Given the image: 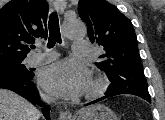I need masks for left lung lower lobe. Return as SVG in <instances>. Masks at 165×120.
<instances>
[{
  "label": "left lung lower lobe",
  "mask_w": 165,
  "mask_h": 120,
  "mask_svg": "<svg viewBox=\"0 0 165 120\" xmlns=\"http://www.w3.org/2000/svg\"><path fill=\"white\" fill-rule=\"evenodd\" d=\"M107 97H111V96L105 95L104 97H101V98H99V99H97V100H95V101H93V102H90V103H88L87 105L93 104V103H96V102H99V101H101V100H103V99H105V98H107ZM145 100H146V99H145ZM147 101H148V100H147ZM148 102H151V101H148Z\"/></svg>",
  "instance_id": "left-lung-lower-lobe-1"
}]
</instances>
